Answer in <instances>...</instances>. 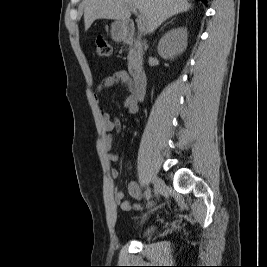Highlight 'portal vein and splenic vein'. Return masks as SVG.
I'll list each match as a JSON object with an SVG mask.
<instances>
[{
	"label": "portal vein and splenic vein",
	"mask_w": 267,
	"mask_h": 267,
	"mask_svg": "<svg viewBox=\"0 0 267 267\" xmlns=\"http://www.w3.org/2000/svg\"><path fill=\"white\" fill-rule=\"evenodd\" d=\"M130 10L137 16V26L140 32L145 31L146 20L145 17L137 12V9L131 7Z\"/></svg>",
	"instance_id": "18ae733b"
}]
</instances>
